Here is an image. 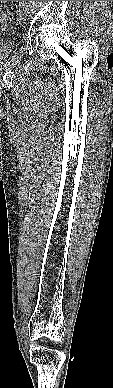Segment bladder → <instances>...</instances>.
Instances as JSON below:
<instances>
[{"instance_id":"bladder-1","label":"bladder","mask_w":113,"mask_h":388,"mask_svg":"<svg viewBox=\"0 0 113 388\" xmlns=\"http://www.w3.org/2000/svg\"><path fill=\"white\" fill-rule=\"evenodd\" d=\"M3 24V19L0 21V25ZM13 44L11 42H0V60L7 58L13 51Z\"/></svg>"}]
</instances>
